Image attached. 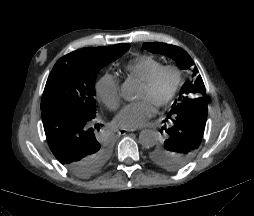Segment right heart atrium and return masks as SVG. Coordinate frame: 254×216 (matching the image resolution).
<instances>
[{"label":"right heart atrium","instance_id":"obj_1","mask_svg":"<svg viewBox=\"0 0 254 216\" xmlns=\"http://www.w3.org/2000/svg\"><path fill=\"white\" fill-rule=\"evenodd\" d=\"M96 96L109 110H116L121 102L118 79L110 74L103 75L96 84Z\"/></svg>","mask_w":254,"mask_h":216}]
</instances>
